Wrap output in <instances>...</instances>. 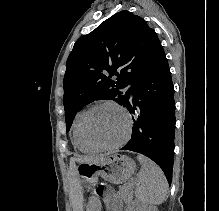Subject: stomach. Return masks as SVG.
<instances>
[{
	"mask_svg": "<svg viewBox=\"0 0 219 211\" xmlns=\"http://www.w3.org/2000/svg\"><path fill=\"white\" fill-rule=\"evenodd\" d=\"M136 168L135 162L126 155L114 153L93 162H80L76 172L88 188L96 185L98 178L121 184L131 177ZM96 201H91L86 211H94Z\"/></svg>",
	"mask_w": 219,
	"mask_h": 211,
	"instance_id": "stomach-1",
	"label": "stomach"
}]
</instances>
